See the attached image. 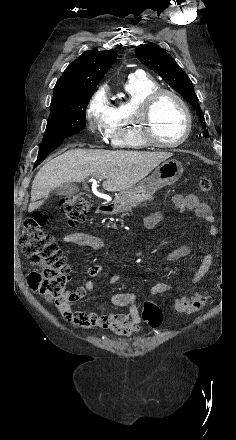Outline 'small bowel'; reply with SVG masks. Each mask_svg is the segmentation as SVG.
Listing matches in <instances>:
<instances>
[{
	"instance_id": "c3829d8e",
	"label": "small bowel",
	"mask_w": 236,
	"mask_h": 440,
	"mask_svg": "<svg viewBox=\"0 0 236 440\" xmlns=\"http://www.w3.org/2000/svg\"><path fill=\"white\" fill-rule=\"evenodd\" d=\"M173 204L180 211L193 210L198 217L202 218L209 225L214 224V217L209 206L201 202L196 195H181L176 194L172 198ZM162 218L160 211L153 212L144 218L147 228L155 227ZM63 242L75 244L81 247H87L92 250H99L103 246V241L99 236L84 232H73L63 237ZM190 244L186 243L175 250H173L167 257L168 262L176 261L186 256L190 251ZM211 256L206 255L196 274L192 278V283H198L208 273L211 265ZM102 271L101 265H91L88 267L86 273L89 278L98 276ZM121 280L119 274H114L110 277V283L116 284ZM96 289L93 280L84 281L75 291L69 292L71 298V305L82 299L87 293L94 292ZM172 290V285L166 282L155 283L151 289V295H157ZM111 307H127L128 311L125 313H115L111 311ZM70 316L72 319L88 320V321H73L71 327L73 330H93L94 327H99L109 330L119 336H131L139 333L142 330L140 312L135 303V295L131 292H119L114 294L109 303L101 307L100 314L94 312H84L73 310L70 306Z\"/></svg>"
}]
</instances>
